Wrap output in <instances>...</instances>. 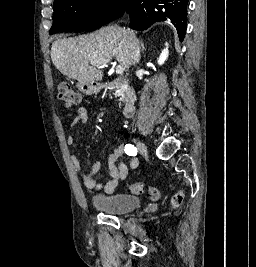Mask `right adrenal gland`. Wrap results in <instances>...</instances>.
<instances>
[{"label": "right adrenal gland", "mask_w": 256, "mask_h": 267, "mask_svg": "<svg viewBox=\"0 0 256 267\" xmlns=\"http://www.w3.org/2000/svg\"><path fill=\"white\" fill-rule=\"evenodd\" d=\"M140 46H141V52L142 54H144L145 48H144L143 40H140Z\"/></svg>", "instance_id": "obj_1"}]
</instances>
